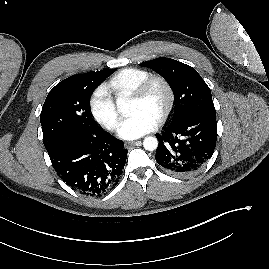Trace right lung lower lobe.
Masks as SVG:
<instances>
[{
  "mask_svg": "<svg viewBox=\"0 0 269 269\" xmlns=\"http://www.w3.org/2000/svg\"><path fill=\"white\" fill-rule=\"evenodd\" d=\"M53 168L72 189L99 197L119 182L128 151L101 128L67 134L46 148Z\"/></svg>",
  "mask_w": 269,
  "mask_h": 269,
  "instance_id": "1",
  "label": "right lung lower lobe"
}]
</instances>
